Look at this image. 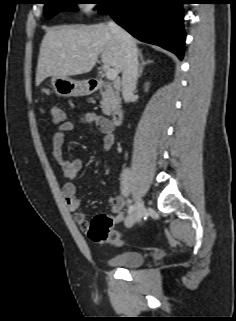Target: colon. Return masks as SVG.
Wrapping results in <instances>:
<instances>
[{
  "mask_svg": "<svg viewBox=\"0 0 236 321\" xmlns=\"http://www.w3.org/2000/svg\"><path fill=\"white\" fill-rule=\"evenodd\" d=\"M52 121L55 125H61L66 120V112L59 106L51 108ZM116 216L99 214L95 216L86 229L88 237L96 243H107L114 246L122 244L120 233L113 228Z\"/></svg>",
  "mask_w": 236,
  "mask_h": 321,
  "instance_id": "1",
  "label": "colon"
}]
</instances>
